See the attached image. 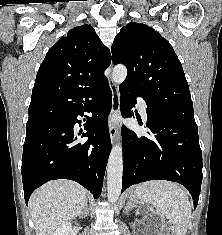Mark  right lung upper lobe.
<instances>
[{"label": "right lung upper lobe", "instance_id": "obj_1", "mask_svg": "<svg viewBox=\"0 0 222 235\" xmlns=\"http://www.w3.org/2000/svg\"><path fill=\"white\" fill-rule=\"evenodd\" d=\"M110 51L91 25L71 29L47 52L38 70L29 106L28 122L50 120L53 99L92 87L106 78ZM44 91L53 94L46 96Z\"/></svg>", "mask_w": 222, "mask_h": 235}]
</instances>
